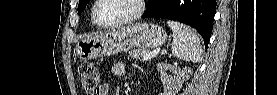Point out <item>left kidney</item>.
Masks as SVG:
<instances>
[{
	"mask_svg": "<svg viewBox=\"0 0 277 95\" xmlns=\"http://www.w3.org/2000/svg\"><path fill=\"white\" fill-rule=\"evenodd\" d=\"M167 70L173 72L174 76L168 75ZM190 70L187 68L180 69L176 66H165L161 68V80L164 86V89L172 93L180 88L182 82L189 76Z\"/></svg>",
	"mask_w": 277,
	"mask_h": 95,
	"instance_id": "5707ae66",
	"label": "left kidney"
}]
</instances>
